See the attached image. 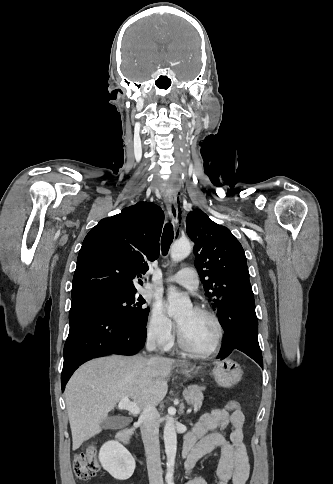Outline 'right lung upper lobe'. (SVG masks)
<instances>
[{"label": "right lung upper lobe", "mask_w": 333, "mask_h": 484, "mask_svg": "<svg viewBox=\"0 0 333 484\" xmlns=\"http://www.w3.org/2000/svg\"><path fill=\"white\" fill-rule=\"evenodd\" d=\"M163 223L162 209L147 202L99 221L79 251L72 297L100 290L136 293L135 280L159 256Z\"/></svg>", "instance_id": "cb5924a9"}]
</instances>
